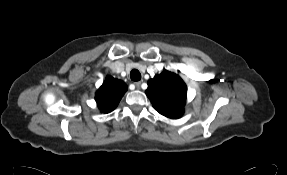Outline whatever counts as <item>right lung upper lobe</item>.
<instances>
[{
	"label": "right lung upper lobe",
	"mask_w": 287,
	"mask_h": 175,
	"mask_svg": "<svg viewBox=\"0 0 287 175\" xmlns=\"http://www.w3.org/2000/svg\"><path fill=\"white\" fill-rule=\"evenodd\" d=\"M127 90L126 84L118 79L107 76L105 83L98 89L95 99L103 113L113 111Z\"/></svg>",
	"instance_id": "right-lung-upper-lobe-1"
}]
</instances>
